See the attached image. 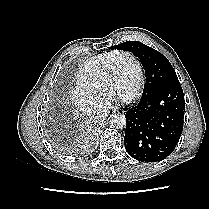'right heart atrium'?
Returning a JSON list of instances; mask_svg holds the SVG:
<instances>
[{"instance_id": "d8ad5b80", "label": "right heart atrium", "mask_w": 209, "mask_h": 209, "mask_svg": "<svg viewBox=\"0 0 209 209\" xmlns=\"http://www.w3.org/2000/svg\"><path fill=\"white\" fill-rule=\"evenodd\" d=\"M71 100L83 113L98 115L106 107L103 96L76 86L71 92Z\"/></svg>"}]
</instances>
